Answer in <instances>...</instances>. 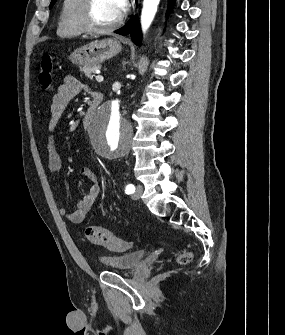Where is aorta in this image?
<instances>
[{
	"mask_svg": "<svg viewBox=\"0 0 285 335\" xmlns=\"http://www.w3.org/2000/svg\"><path fill=\"white\" fill-rule=\"evenodd\" d=\"M159 2L144 0L141 14L144 32L151 26ZM125 102H131L127 90H118L117 95H108V100H102V105L97 106L98 112H92L89 126L85 128V133L92 139L91 147H97V156H102V160H119L124 152H130L134 130L123 119Z\"/></svg>",
	"mask_w": 285,
	"mask_h": 335,
	"instance_id": "obj_1",
	"label": "aorta"
}]
</instances>
